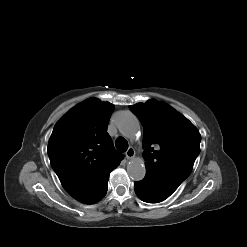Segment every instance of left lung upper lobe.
I'll use <instances>...</instances> for the list:
<instances>
[{
	"label": "left lung upper lobe",
	"mask_w": 247,
	"mask_h": 247,
	"mask_svg": "<svg viewBox=\"0 0 247 247\" xmlns=\"http://www.w3.org/2000/svg\"><path fill=\"white\" fill-rule=\"evenodd\" d=\"M143 126L146 176L173 193L189 176L200 152L196 127L171 106L156 100L130 106Z\"/></svg>",
	"instance_id": "5c2ea615"
}]
</instances>
